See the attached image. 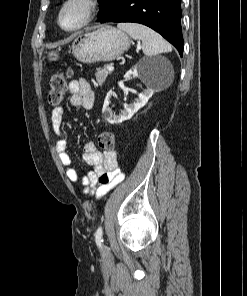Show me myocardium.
<instances>
[{
    "label": "myocardium",
    "mask_w": 247,
    "mask_h": 296,
    "mask_svg": "<svg viewBox=\"0 0 247 296\" xmlns=\"http://www.w3.org/2000/svg\"><path fill=\"white\" fill-rule=\"evenodd\" d=\"M80 6L83 9V14L81 20L72 27H66L63 25V15L65 11L70 8L71 6ZM97 0H65L63 4L60 7L58 17H57V23L61 30L65 32H75L78 31L85 26H87L92 19L95 16V13L97 11Z\"/></svg>",
    "instance_id": "myocardium-1"
}]
</instances>
